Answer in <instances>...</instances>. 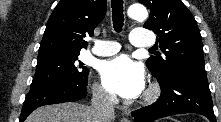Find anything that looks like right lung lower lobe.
Masks as SVG:
<instances>
[{
    "instance_id": "obj_1",
    "label": "right lung lower lobe",
    "mask_w": 221,
    "mask_h": 122,
    "mask_svg": "<svg viewBox=\"0 0 221 122\" xmlns=\"http://www.w3.org/2000/svg\"><path fill=\"white\" fill-rule=\"evenodd\" d=\"M87 95V80L82 83H59L33 87L26 95L19 122H23L36 108L44 105L73 102Z\"/></svg>"
}]
</instances>
